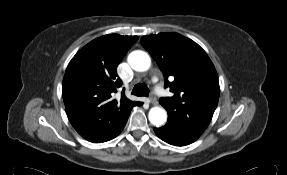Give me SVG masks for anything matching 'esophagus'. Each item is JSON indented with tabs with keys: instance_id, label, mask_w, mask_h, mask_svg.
<instances>
[{
	"instance_id": "34e87169",
	"label": "esophagus",
	"mask_w": 287,
	"mask_h": 175,
	"mask_svg": "<svg viewBox=\"0 0 287 175\" xmlns=\"http://www.w3.org/2000/svg\"><path fill=\"white\" fill-rule=\"evenodd\" d=\"M149 102L153 105H156L157 104V100L155 98V96L151 93L150 96H149Z\"/></svg>"
}]
</instances>
